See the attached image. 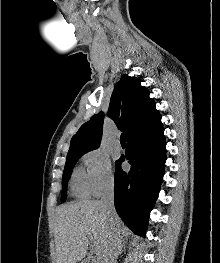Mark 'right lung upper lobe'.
<instances>
[{"instance_id":"right-lung-upper-lobe-1","label":"right lung upper lobe","mask_w":220,"mask_h":263,"mask_svg":"<svg viewBox=\"0 0 220 263\" xmlns=\"http://www.w3.org/2000/svg\"><path fill=\"white\" fill-rule=\"evenodd\" d=\"M149 90L141 80L123 74L111 95L108 116L118 128L126 132L127 140L149 131L162 128L161 115ZM104 115H94L72 137L68 154L89 152L99 147Z\"/></svg>"}]
</instances>
